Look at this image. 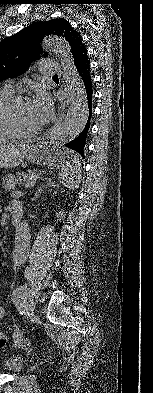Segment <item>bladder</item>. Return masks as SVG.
Wrapping results in <instances>:
<instances>
[{"label": "bladder", "mask_w": 153, "mask_h": 393, "mask_svg": "<svg viewBox=\"0 0 153 393\" xmlns=\"http://www.w3.org/2000/svg\"><path fill=\"white\" fill-rule=\"evenodd\" d=\"M4 369L9 370L11 372H15L18 369L17 362L14 360H9L5 363Z\"/></svg>", "instance_id": "bladder-1"}]
</instances>
